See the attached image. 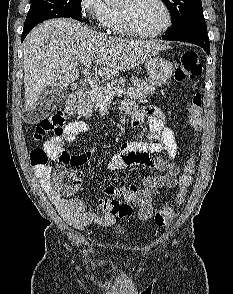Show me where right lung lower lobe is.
Here are the masks:
<instances>
[{"mask_svg":"<svg viewBox=\"0 0 233 294\" xmlns=\"http://www.w3.org/2000/svg\"><path fill=\"white\" fill-rule=\"evenodd\" d=\"M30 31H31V29H24V30H23L21 41L24 40V38L26 37V35H27Z\"/></svg>","mask_w":233,"mask_h":294,"instance_id":"98d812e1","label":"right lung lower lobe"}]
</instances>
